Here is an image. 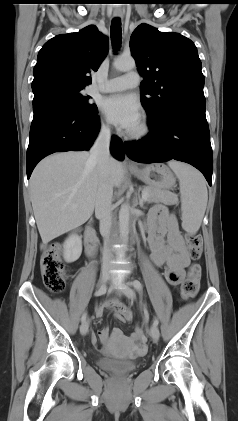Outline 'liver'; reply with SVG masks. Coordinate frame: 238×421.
Returning <instances> with one entry per match:
<instances>
[{
    "instance_id": "1",
    "label": "liver",
    "mask_w": 238,
    "mask_h": 421,
    "mask_svg": "<svg viewBox=\"0 0 238 421\" xmlns=\"http://www.w3.org/2000/svg\"><path fill=\"white\" fill-rule=\"evenodd\" d=\"M89 156L86 151L57 153L43 159L34 169L30 194L42 249L92 216L100 177ZM109 166V183L119 187L124 179V166L111 157Z\"/></svg>"
}]
</instances>
